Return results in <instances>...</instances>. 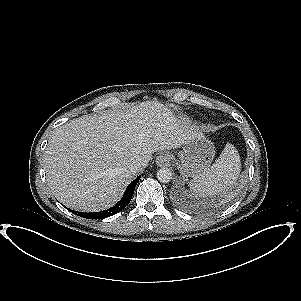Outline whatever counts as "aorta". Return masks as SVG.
Listing matches in <instances>:
<instances>
[{
  "label": "aorta",
  "instance_id": "aorta-1",
  "mask_svg": "<svg viewBox=\"0 0 301 301\" xmlns=\"http://www.w3.org/2000/svg\"><path fill=\"white\" fill-rule=\"evenodd\" d=\"M157 179L161 183H168L172 179V172L168 168L159 169L157 172Z\"/></svg>",
  "mask_w": 301,
  "mask_h": 301
}]
</instances>
